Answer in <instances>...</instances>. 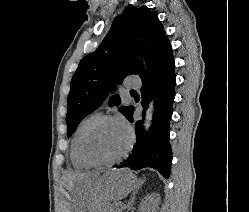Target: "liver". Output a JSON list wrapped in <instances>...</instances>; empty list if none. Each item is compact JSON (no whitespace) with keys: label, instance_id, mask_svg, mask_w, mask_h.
I'll return each mask as SVG.
<instances>
[{"label":"liver","instance_id":"1","mask_svg":"<svg viewBox=\"0 0 249 212\" xmlns=\"http://www.w3.org/2000/svg\"><path fill=\"white\" fill-rule=\"evenodd\" d=\"M68 190L73 192L75 184L87 182L89 188L95 196L96 202L92 204V210L100 212L102 206L107 202H119L127 198L128 194L134 190L137 182L136 176L129 170H108V172H77L68 174Z\"/></svg>","mask_w":249,"mask_h":212}]
</instances>
